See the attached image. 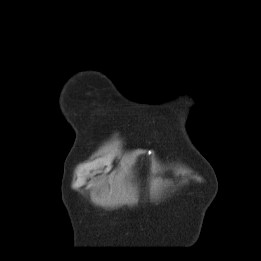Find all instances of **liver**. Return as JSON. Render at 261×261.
Here are the masks:
<instances>
[{"label": "liver", "mask_w": 261, "mask_h": 261, "mask_svg": "<svg viewBox=\"0 0 261 261\" xmlns=\"http://www.w3.org/2000/svg\"><path fill=\"white\" fill-rule=\"evenodd\" d=\"M104 198H105L106 202H111V200H112V191H106L104 193Z\"/></svg>", "instance_id": "6515ba94"}]
</instances>
